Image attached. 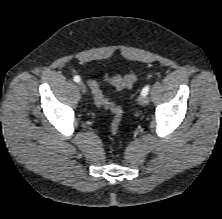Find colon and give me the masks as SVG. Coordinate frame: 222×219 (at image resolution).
Wrapping results in <instances>:
<instances>
[{
    "label": "colon",
    "mask_w": 222,
    "mask_h": 219,
    "mask_svg": "<svg viewBox=\"0 0 222 219\" xmlns=\"http://www.w3.org/2000/svg\"><path fill=\"white\" fill-rule=\"evenodd\" d=\"M105 78L117 89H125L134 84L137 79V74L135 72H130L124 76L106 75ZM90 87L94 96L95 104L97 106L107 108L111 112L112 120L110 129L113 134H116L122 119L121 107L117 103L107 99L97 84H92Z\"/></svg>",
    "instance_id": "colon-1"
}]
</instances>
